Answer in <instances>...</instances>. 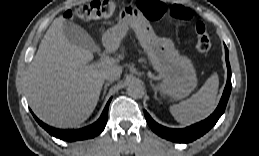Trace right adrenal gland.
Listing matches in <instances>:
<instances>
[{"label": "right adrenal gland", "instance_id": "right-adrenal-gland-1", "mask_svg": "<svg viewBox=\"0 0 259 156\" xmlns=\"http://www.w3.org/2000/svg\"><path fill=\"white\" fill-rule=\"evenodd\" d=\"M110 84H112V82H107V83H105L102 98H104V96H105V94H106V91H107V88H108V86H109Z\"/></svg>", "mask_w": 259, "mask_h": 156}]
</instances>
